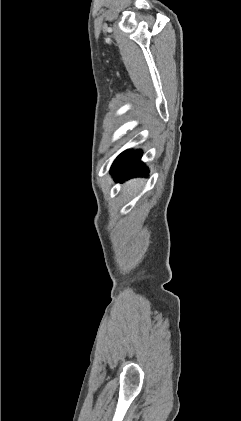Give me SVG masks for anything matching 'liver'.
Masks as SVG:
<instances>
[{"label": "liver", "mask_w": 241, "mask_h": 421, "mask_svg": "<svg viewBox=\"0 0 241 421\" xmlns=\"http://www.w3.org/2000/svg\"><path fill=\"white\" fill-rule=\"evenodd\" d=\"M140 184H141V181H139V180H132V181H129L125 185V187L128 190H131L133 193H136L138 191L139 187H140Z\"/></svg>", "instance_id": "liver-1"}]
</instances>
